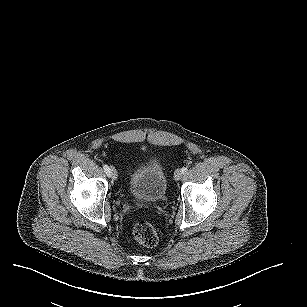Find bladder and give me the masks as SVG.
I'll use <instances>...</instances> for the list:
<instances>
[{
    "mask_svg": "<svg viewBox=\"0 0 307 307\" xmlns=\"http://www.w3.org/2000/svg\"><path fill=\"white\" fill-rule=\"evenodd\" d=\"M129 189L138 200L160 203L166 193V171L159 163L132 167L128 177Z\"/></svg>",
    "mask_w": 307,
    "mask_h": 307,
    "instance_id": "31cf9c89",
    "label": "bladder"
}]
</instances>
